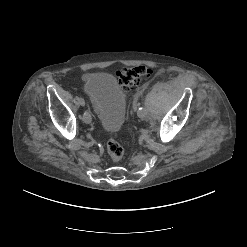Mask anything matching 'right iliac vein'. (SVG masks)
Instances as JSON below:
<instances>
[{"mask_svg":"<svg viewBox=\"0 0 247 247\" xmlns=\"http://www.w3.org/2000/svg\"><path fill=\"white\" fill-rule=\"evenodd\" d=\"M83 120H84V122H86V123H90V122L92 121L91 114H90L88 111H86V112L84 113V115H83Z\"/></svg>","mask_w":247,"mask_h":247,"instance_id":"obj_1","label":"right iliac vein"}]
</instances>
